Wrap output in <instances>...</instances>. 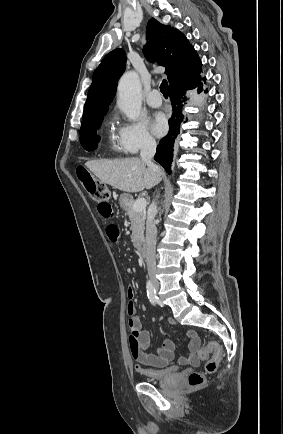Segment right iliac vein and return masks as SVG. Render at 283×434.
Wrapping results in <instances>:
<instances>
[{
    "instance_id": "1",
    "label": "right iliac vein",
    "mask_w": 283,
    "mask_h": 434,
    "mask_svg": "<svg viewBox=\"0 0 283 434\" xmlns=\"http://www.w3.org/2000/svg\"><path fill=\"white\" fill-rule=\"evenodd\" d=\"M154 286L156 289H158V287H159L158 283H154Z\"/></svg>"
}]
</instances>
